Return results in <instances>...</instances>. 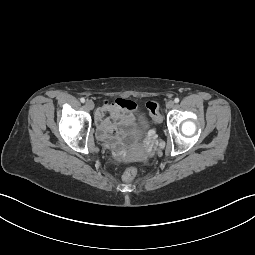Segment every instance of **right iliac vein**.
<instances>
[{
    "mask_svg": "<svg viewBox=\"0 0 255 255\" xmlns=\"http://www.w3.org/2000/svg\"><path fill=\"white\" fill-rule=\"evenodd\" d=\"M85 106L87 109L92 110L94 108V103L92 100H87Z\"/></svg>",
    "mask_w": 255,
    "mask_h": 255,
    "instance_id": "right-iliac-vein-1",
    "label": "right iliac vein"
}]
</instances>
